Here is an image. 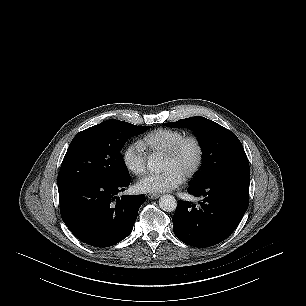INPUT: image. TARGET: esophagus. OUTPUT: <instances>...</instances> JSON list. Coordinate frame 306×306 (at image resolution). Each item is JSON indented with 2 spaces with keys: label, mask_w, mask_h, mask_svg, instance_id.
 I'll return each instance as SVG.
<instances>
[{
  "label": "esophagus",
  "mask_w": 306,
  "mask_h": 306,
  "mask_svg": "<svg viewBox=\"0 0 306 306\" xmlns=\"http://www.w3.org/2000/svg\"><path fill=\"white\" fill-rule=\"evenodd\" d=\"M147 197H148L149 199H157V198L160 197V194H157V193H149V194H147Z\"/></svg>",
  "instance_id": "1"
}]
</instances>
